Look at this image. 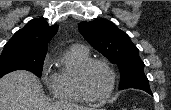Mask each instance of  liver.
<instances>
[{"label":"liver","mask_w":171,"mask_h":110,"mask_svg":"<svg viewBox=\"0 0 171 110\" xmlns=\"http://www.w3.org/2000/svg\"><path fill=\"white\" fill-rule=\"evenodd\" d=\"M42 94V86L33 73L11 72L0 79V110H90L73 104H51Z\"/></svg>","instance_id":"1"}]
</instances>
